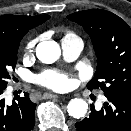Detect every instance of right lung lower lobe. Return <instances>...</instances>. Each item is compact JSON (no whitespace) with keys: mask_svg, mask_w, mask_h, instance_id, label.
<instances>
[{"mask_svg":"<svg viewBox=\"0 0 131 131\" xmlns=\"http://www.w3.org/2000/svg\"><path fill=\"white\" fill-rule=\"evenodd\" d=\"M4 89H0V95ZM35 108L28 93L18 97L11 106L5 105L0 96V131H31L35 124Z\"/></svg>","mask_w":131,"mask_h":131,"instance_id":"1","label":"right lung lower lobe"}]
</instances>
